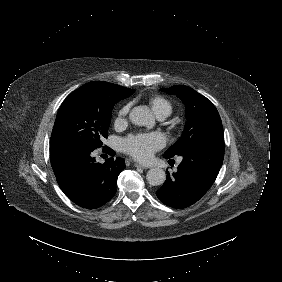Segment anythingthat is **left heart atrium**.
I'll list each match as a JSON object with an SVG mask.
<instances>
[{"label": "left heart atrium", "mask_w": 282, "mask_h": 282, "mask_svg": "<svg viewBox=\"0 0 282 282\" xmlns=\"http://www.w3.org/2000/svg\"><path fill=\"white\" fill-rule=\"evenodd\" d=\"M161 146L162 138L158 134L140 135L123 140L124 150L141 162L150 160L153 152Z\"/></svg>", "instance_id": "obj_1"}]
</instances>
